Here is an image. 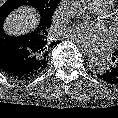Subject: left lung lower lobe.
<instances>
[{
  "label": "left lung lower lobe",
  "mask_w": 118,
  "mask_h": 118,
  "mask_svg": "<svg viewBox=\"0 0 118 118\" xmlns=\"http://www.w3.org/2000/svg\"><path fill=\"white\" fill-rule=\"evenodd\" d=\"M97 77L110 84H118V52L113 53L112 61L105 72Z\"/></svg>",
  "instance_id": "1"
}]
</instances>
